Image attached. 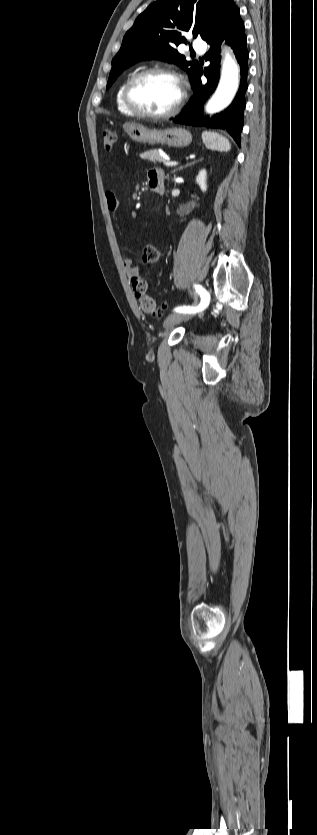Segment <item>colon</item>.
I'll list each match as a JSON object with an SVG mask.
<instances>
[{
  "label": "colon",
  "instance_id": "5ec220e1",
  "mask_svg": "<svg viewBox=\"0 0 317 835\" xmlns=\"http://www.w3.org/2000/svg\"><path fill=\"white\" fill-rule=\"evenodd\" d=\"M103 144L107 150H111L117 142V135L112 130H103L101 133ZM160 257V251L155 246H150L148 249V258L150 260H157ZM131 286L133 292L138 299L140 309L147 314L154 316L162 315V309L157 307L155 300L147 294V281L140 275L131 277Z\"/></svg>",
  "mask_w": 317,
  "mask_h": 835
}]
</instances>
